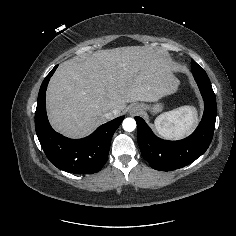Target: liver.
<instances>
[{"mask_svg":"<svg viewBox=\"0 0 236 236\" xmlns=\"http://www.w3.org/2000/svg\"><path fill=\"white\" fill-rule=\"evenodd\" d=\"M179 85L167 54L146 46L98 50L59 65L47 88L52 127L82 138L107 122L105 114L127 103L155 102Z\"/></svg>","mask_w":236,"mask_h":236,"instance_id":"liver-1","label":"liver"}]
</instances>
